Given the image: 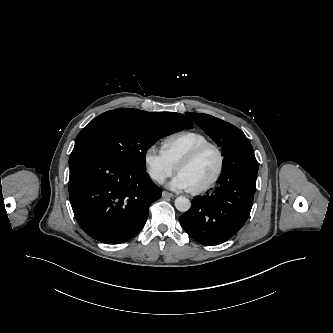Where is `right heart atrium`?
Returning <instances> with one entry per match:
<instances>
[{
    "mask_svg": "<svg viewBox=\"0 0 333 333\" xmlns=\"http://www.w3.org/2000/svg\"><path fill=\"white\" fill-rule=\"evenodd\" d=\"M144 164L149 176L160 184L164 183L176 170V166L155 145H150L145 150Z\"/></svg>",
    "mask_w": 333,
    "mask_h": 333,
    "instance_id": "d8ad5b80",
    "label": "right heart atrium"
}]
</instances>
